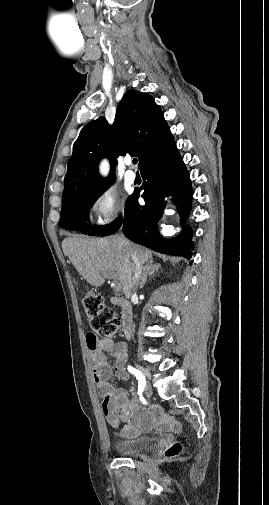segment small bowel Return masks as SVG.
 Here are the masks:
<instances>
[{"instance_id": "1", "label": "small bowel", "mask_w": 269, "mask_h": 505, "mask_svg": "<svg viewBox=\"0 0 269 505\" xmlns=\"http://www.w3.org/2000/svg\"><path fill=\"white\" fill-rule=\"evenodd\" d=\"M86 344L97 392L102 398L103 414L113 427H118L121 421L125 423L120 429L121 437L133 439L153 429L159 432L180 429V424L171 416L163 414L159 406L141 407L131 400L127 390L116 388L111 382L114 375L123 380L128 379L125 368L128 349L124 343H114L111 339H98L87 334ZM106 353L114 359L113 367L108 363Z\"/></svg>"}]
</instances>
